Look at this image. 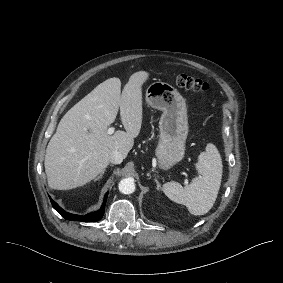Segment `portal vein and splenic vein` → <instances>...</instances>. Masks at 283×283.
I'll return each instance as SVG.
<instances>
[{
	"label": "portal vein and splenic vein",
	"instance_id": "portal-vein-and-splenic-vein-1",
	"mask_svg": "<svg viewBox=\"0 0 283 283\" xmlns=\"http://www.w3.org/2000/svg\"><path fill=\"white\" fill-rule=\"evenodd\" d=\"M114 133V128H109L108 130H107V134L108 135H112Z\"/></svg>",
	"mask_w": 283,
	"mask_h": 283
}]
</instances>
